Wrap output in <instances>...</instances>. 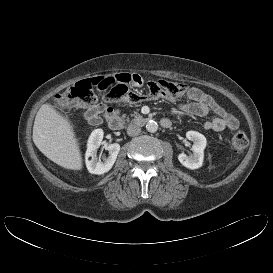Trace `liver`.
<instances>
[{
    "label": "liver",
    "mask_w": 273,
    "mask_h": 273,
    "mask_svg": "<svg viewBox=\"0 0 273 273\" xmlns=\"http://www.w3.org/2000/svg\"><path fill=\"white\" fill-rule=\"evenodd\" d=\"M33 142L51 161L70 170H81L83 159L71 122L51 104L38 110L33 126Z\"/></svg>",
    "instance_id": "liver-1"
}]
</instances>
